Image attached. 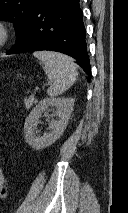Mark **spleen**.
<instances>
[{"label": "spleen", "mask_w": 128, "mask_h": 213, "mask_svg": "<svg viewBox=\"0 0 128 213\" xmlns=\"http://www.w3.org/2000/svg\"><path fill=\"white\" fill-rule=\"evenodd\" d=\"M33 55L42 61L43 69L51 81L47 90L50 97L61 95L75 83L78 72L70 57L52 51H36Z\"/></svg>", "instance_id": "obj_1"}]
</instances>
